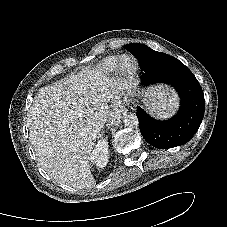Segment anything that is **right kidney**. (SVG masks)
<instances>
[{"label": "right kidney", "mask_w": 227, "mask_h": 227, "mask_svg": "<svg viewBox=\"0 0 227 227\" xmlns=\"http://www.w3.org/2000/svg\"><path fill=\"white\" fill-rule=\"evenodd\" d=\"M108 142L103 139L98 141L95 148L93 149L90 160L99 168H103L108 163L109 152H108Z\"/></svg>", "instance_id": "right-kidney-1"}]
</instances>
